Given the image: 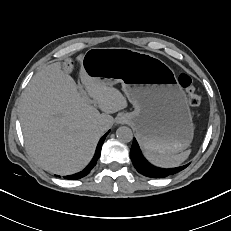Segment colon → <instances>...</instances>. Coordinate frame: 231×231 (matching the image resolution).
Instances as JSON below:
<instances>
[{
    "label": "colon",
    "instance_id": "5ec220e1",
    "mask_svg": "<svg viewBox=\"0 0 231 231\" xmlns=\"http://www.w3.org/2000/svg\"><path fill=\"white\" fill-rule=\"evenodd\" d=\"M180 84L185 88L188 94V102L191 107H198L201 103V97L193 87L192 79L187 74H181L179 77Z\"/></svg>",
    "mask_w": 231,
    "mask_h": 231
}]
</instances>
